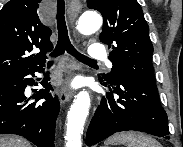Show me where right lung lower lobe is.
Masks as SVG:
<instances>
[{"label": "right lung lower lobe", "mask_w": 183, "mask_h": 147, "mask_svg": "<svg viewBox=\"0 0 183 147\" xmlns=\"http://www.w3.org/2000/svg\"><path fill=\"white\" fill-rule=\"evenodd\" d=\"M43 66L0 79V134L23 136L38 147H54L60 103L57 97L50 98L48 76L42 82L44 89L33 96L36 101H29L24 94L26 86L34 83L28 75L43 71ZM42 98L46 101L39 102Z\"/></svg>", "instance_id": "obj_1"}]
</instances>
